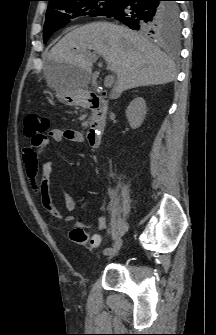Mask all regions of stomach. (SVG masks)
Segmentation results:
<instances>
[{"label":"stomach","instance_id":"1","mask_svg":"<svg viewBox=\"0 0 216 335\" xmlns=\"http://www.w3.org/2000/svg\"><path fill=\"white\" fill-rule=\"evenodd\" d=\"M54 88L56 90V98L61 103L67 106H75L81 103L82 91L74 89L63 76L55 75Z\"/></svg>","mask_w":216,"mask_h":335}]
</instances>
